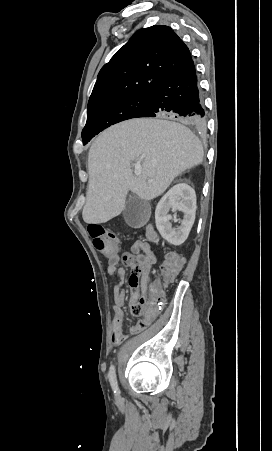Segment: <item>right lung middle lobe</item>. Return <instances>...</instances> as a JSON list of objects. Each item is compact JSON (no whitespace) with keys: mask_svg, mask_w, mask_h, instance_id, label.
Wrapping results in <instances>:
<instances>
[{"mask_svg":"<svg viewBox=\"0 0 272 451\" xmlns=\"http://www.w3.org/2000/svg\"><path fill=\"white\" fill-rule=\"evenodd\" d=\"M149 98L150 95L124 96L88 108L87 122L82 130L83 144L113 124L136 118L147 107Z\"/></svg>","mask_w":272,"mask_h":451,"instance_id":"obj_1","label":"right lung middle lobe"}]
</instances>
